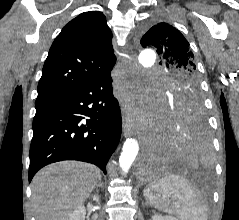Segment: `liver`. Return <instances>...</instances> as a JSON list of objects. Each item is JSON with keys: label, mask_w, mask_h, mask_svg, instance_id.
Returning <instances> with one entry per match:
<instances>
[{"label": "liver", "mask_w": 239, "mask_h": 220, "mask_svg": "<svg viewBox=\"0 0 239 220\" xmlns=\"http://www.w3.org/2000/svg\"><path fill=\"white\" fill-rule=\"evenodd\" d=\"M100 180L99 169L87 163L62 161L44 167L32 180L36 220H70Z\"/></svg>", "instance_id": "6515ba94"}]
</instances>
